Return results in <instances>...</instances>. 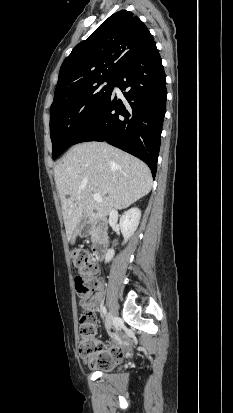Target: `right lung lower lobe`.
Returning <instances> with one entry per match:
<instances>
[{
  "mask_svg": "<svg viewBox=\"0 0 233 413\" xmlns=\"http://www.w3.org/2000/svg\"><path fill=\"white\" fill-rule=\"evenodd\" d=\"M114 93L74 144L106 141L143 160L157 170L162 124L166 109V76L155 42L140 56L123 65L114 77Z\"/></svg>",
  "mask_w": 233,
  "mask_h": 413,
  "instance_id": "1",
  "label": "right lung lower lobe"
}]
</instances>
